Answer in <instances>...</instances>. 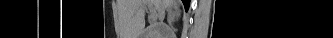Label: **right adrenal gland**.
Wrapping results in <instances>:
<instances>
[{
    "label": "right adrenal gland",
    "instance_id": "obj_1",
    "mask_svg": "<svg viewBox=\"0 0 333 38\" xmlns=\"http://www.w3.org/2000/svg\"><path fill=\"white\" fill-rule=\"evenodd\" d=\"M175 18H178V16L176 15V12L175 11H172V10H169L168 12V16H167V19L170 23H172Z\"/></svg>",
    "mask_w": 333,
    "mask_h": 38
}]
</instances>
